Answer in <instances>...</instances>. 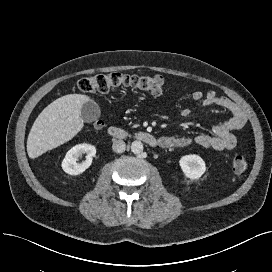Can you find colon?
I'll list each match as a JSON object with an SVG mask.
<instances>
[{"mask_svg": "<svg viewBox=\"0 0 272 272\" xmlns=\"http://www.w3.org/2000/svg\"><path fill=\"white\" fill-rule=\"evenodd\" d=\"M135 88L152 95H159L164 87V79L160 75H128L118 72L97 74L83 77L78 81V88L83 93H109L120 88ZM248 167L244 156H235L232 168L235 173H243Z\"/></svg>", "mask_w": 272, "mask_h": 272, "instance_id": "5ec220e1", "label": "colon"}]
</instances>
